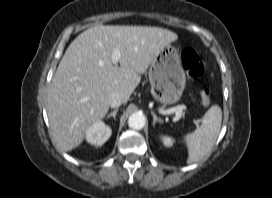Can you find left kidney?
<instances>
[{"label":"left kidney","instance_id":"5707ae66","mask_svg":"<svg viewBox=\"0 0 272 198\" xmlns=\"http://www.w3.org/2000/svg\"><path fill=\"white\" fill-rule=\"evenodd\" d=\"M161 140H162L163 144L167 147H171L174 142V140L169 136H162Z\"/></svg>","mask_w":272,"mask_h":198}]
</instances>
